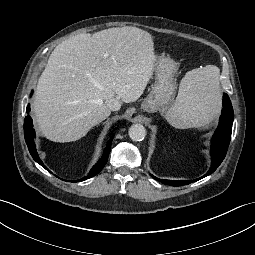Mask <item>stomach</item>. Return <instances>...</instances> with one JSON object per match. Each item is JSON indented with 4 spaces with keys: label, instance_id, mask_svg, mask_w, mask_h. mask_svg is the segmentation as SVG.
I'll return each mask as SVG.
<instances>
[{
    "label": "stomach",
    "instance_id": "obj_1",
    "mask_svg": "<svg viewBox=\"0 0 255 255\" xmlns=\"http://www.w3.org/2000/svg\"><path fill=\"white\" fill-rule=\"evenodd\" d=\"M177 70V63L170 57L165 55L156 57L154 65L155 82L152 85L151 92L141 104L143 111L167 113L176 94L177 87L174 77Z\"/></svg>",
    "mask_w": 255,
    "mask_h": 255
}]
</instances>
